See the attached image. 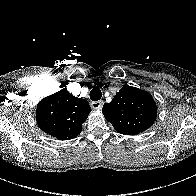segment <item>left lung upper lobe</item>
Wrapping results in <instances>:
<instances>
[{
	"label": "left lung upper lobe",
	"instance_id": "1",
	"mask_svg": "<svg viewBox=\"0 0 196 196\" xmlns=\"http://www.w3.org/2000/svg\"><path fill=\"white\" fill-rule=\"evenodd\" d=\"M102 112L118 133L136 135L151 127L157 107L148 92L126 85L110 103L104 104Z\"/></svg>",
	"mask_w": 196,
	"mask_h": 196
}]
</instances>
